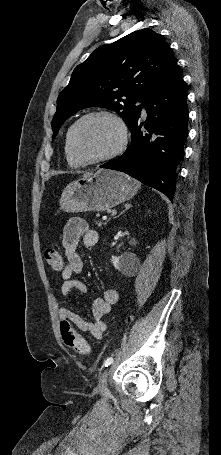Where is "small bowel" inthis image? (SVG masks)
<instances>
[{
    "instance_id": "c3829d8e",
    "label": "small bowel",
    "mask_w": 221,
    "mask_h": 455,
    "mask_svg": "<svg viewBox=\"0 0 221 455\" xmlns=\"http://www.w3.org/2000/svg\"><path fill=\"white\" fill-rule=\"evenodd\" d=\"M99 234L90 229L88 224L80 218H72L63 229L62 245L66 255V266L62 271V293L67 300L71 299L72 292L78 290L81 293L87 292V286L77 275L83 271V261L77 253L80 244L85 247H93L98 244ZM118 300V292L114 287H108L103 295L96 298L92 304V320L89 321L67 307L58 310L60 320H67L73 323L79 330L90 334L96 339H102L107 329L103 321L112 305Z\"/></svg>"
}]
</instances>
